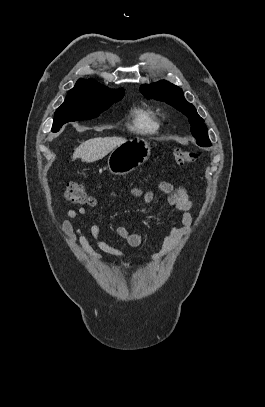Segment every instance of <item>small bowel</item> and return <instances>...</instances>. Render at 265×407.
Masks as SVG:
<instances>
[{
	"label": "small bowel",
	"instance_id": "c3829d8e",
	"mask_svg": "<svg viewBox=\"0 0 265 407\" xmlns=\"http://www.w3.org/2000/svg\"><path fill=\"white\" fill-rule=\"evenodd\" d=\"M158 188L166 195L167 204L179 212L180 225H172L170 227L169 233L163 239L160 250L151 255L154 260H160L168 255L182 238L190 233L193 221L190 213L192 204L184 187L173 185L167 181H162L159 183ZM130 193L133 197L140 198L145 203H150L154 198L152 191H142L137 187L132 188ZM86 214L87 210L84 207H80L77 210L70 209L67 211V218L62 223V230L70 242L81 248L93 260L102 259L103 254L118 258L123 257L124 254L122 251L100 238L101 229L97 223H92L90 226V234L95 241V247L90 243L83 230L78 226L79 217ZM116 232L120 238L125 240L131 246H140L145 241L142 234L136 233L125 226H119L116 229Z\"/></svg>",
	"mask_w": 265,
	"mask_h": 407
}]
</instances>
